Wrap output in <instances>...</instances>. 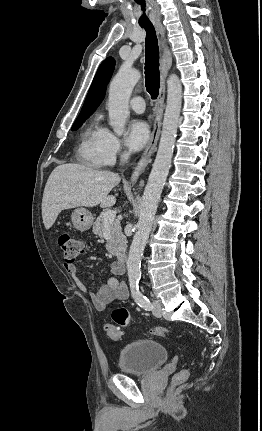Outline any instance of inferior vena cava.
Here are the masks:
<instances>
[{
    "label": "inferior vena cava",
    "mask_w": 262,
    "mask_h": 431,
    "mask_svg": "<svg viewBox=\"0 0 262 431\" xmlns=\"http://www.w3.org/2000/svg\"><path fill=\"white\" fill-rule=\"evenodd\" d=\"M127 159H128V153H125V154L122 156V160L126 161Z\"/></svg>",
    "instance_id": "602c4592"
}]
</instances>
